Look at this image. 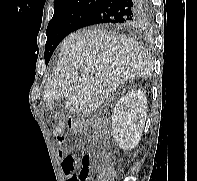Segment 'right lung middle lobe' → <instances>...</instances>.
Returning a JSON list of instances; mask_svg holds the SVG:
<instances>
[{
  "mask_svg": "<svg viewBox=\"0 0 197 181\" xmlns=\"http://www.w3.org/2000/svg\"><path fill=\"white\" fill-rule=\"evenodd\" d=\"M94 6V4H83L74 8L54 12L46 31L47 42L44 53L46 65L58 44L68 34L74 31L79 20Z\"/></svg>",
  "mask_w": 197,
  "mask_h": 181,
  "instance_id": "dd1d6c3e",
  "label": "right lung middle lobe"
}]
</instances>
